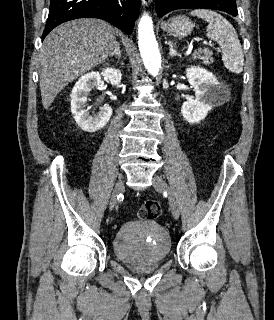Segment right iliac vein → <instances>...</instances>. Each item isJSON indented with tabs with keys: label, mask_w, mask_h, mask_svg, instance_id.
Instances as JSON below:
<instances>
[{
	"label": "right iliac vein",
	"mask_w": 274,
	"mask_h": 320,
	"mask_svg": "<svg viewBox=\"0 0 274 320\" xmlns=\"http://www.w3.org/2000/svg\"><path fill=\"white\" fill-rule=\"evenodd\" d=\"M123 191H124V182L123 180H119L113 191V195L110 201V210H112L117 203V195L122 193Z\"/></svg>",
	"instance_id": "63e3f726"
}]
</instances>
